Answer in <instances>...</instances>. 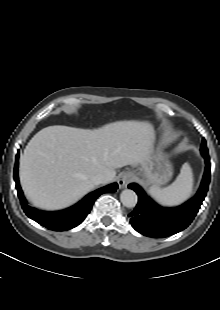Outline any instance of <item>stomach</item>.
Listing matches in <instances>:
<instances>
[{
	"instance_id": "stomach-1",
	"label": "stomach",
	"mask_w": 220,
	"mask_h": 310,
	"mask_svg": "<svg viewBox=\"0 0 220 310\" xmlns=\"http://www.w3.org/2000/svg\"><path fill=\"white\" fill-rule=\"evenodd\" d=\"M140 171L148 184L160 186L166 184L172 176V166L161 152H152L141 164Z\"/></svg>"
}]
</instances>
